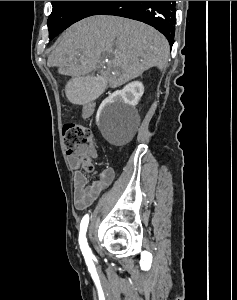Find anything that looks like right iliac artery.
<instances>
[{
    "label": "right iliac artery",
    "instance_id": "obj_1",
    "mask_svg": "<svg viewBox=\"0 0 237 300\" xmlns=\"http://www.w3.org/2000/svg\"><path fill=\"white\" fill-rule=\"evenodd\" d=\"M89 223V215H85L80 224V233H79V245L84 255L86 261H90L94 258L91 249L88 246L87 239H86V231Z\"/></svg>",
    "mask_w": 237,
    "mask_h": 300
}]
</instances>
